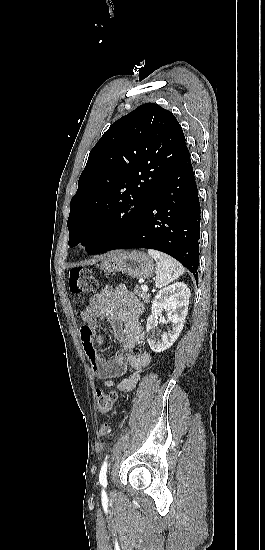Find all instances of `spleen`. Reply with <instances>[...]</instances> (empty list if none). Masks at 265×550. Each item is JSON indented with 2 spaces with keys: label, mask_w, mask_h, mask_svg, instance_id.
I'll use <instances>...</instances> for the list:
<instances>
[{
  "label": "spleen",
  "mask_w": 265,
  "mask_h": 550,
  "mask_svg": "<svg viewBox=\"0 0 265 550\" xmlns=\"http://www.w3.org/2000/svg\"><path fill=\"white\" fill-rule=\"evenodd\" d=\"M148 254L156 261L155 286L157 288L170 284L184 273L183 266L172 257L153 249H148Z\"/></svg>",
  "instance_id": "obj_1"
}]
</instances>
